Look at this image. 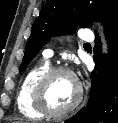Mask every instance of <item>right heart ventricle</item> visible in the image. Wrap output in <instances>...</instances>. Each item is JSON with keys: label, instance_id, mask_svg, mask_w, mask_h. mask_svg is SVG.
Returning <instances> with one entry per match:
<instances>
[{"label": "right heart ventricle", "instance_id": "e07e8e85", "mask_svg": "<svg viewBox=\"0 0 118 123\" xmlns=\"http://www.w3.org/2000/svg\"><path fill=\"white\" fill-rule=\"evenodd\" d=\"M49 68V63L43 61L31 68L22 79L17 91L16 103L19 112L26 118L41 119L45 115L34 104V91L39 78Z\"/></svg>", "mask_w": 118, "mask_h": 123}]
</instances>
